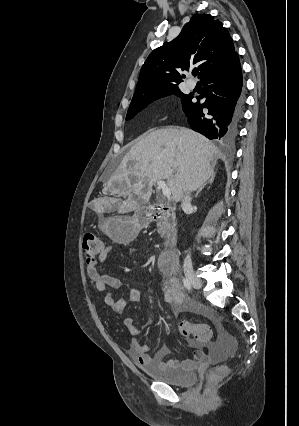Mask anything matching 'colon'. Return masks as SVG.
Returning a JSON list of instances; mask_svg holds the SVG:
<instances>
[{"label": "colon", "mask_w": 299, "mask_h": 426, "mask_svg": "<svg viewBox=\"0 0 299 426\" xmlns=\"http://www.w3.org/2000/svg\"><path fill=\"white\" fill-rule=\"evenodd\" d=\"M83 254L87 265L97 263L101 250L102 240L94 233L87 232L82 243ZM179 331L184 337H190L197 342H208L212 336L211 328L206 324H194L182 321L179 324ZM227 367L220 365L213 368L207 375V386L205 395H209L216 384H218L227 374Z\"/></svg>", "instance_id": "1"}]
</instances>
